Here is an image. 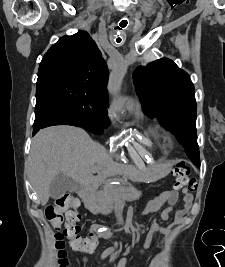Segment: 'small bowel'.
Segmentation results:
<instances>
[{"mask_svg":"<svg viewBox=\"0 0 225 267\" xmlns=\"http://www.w3.org/2000/svg\"><path fill=\"white\" fill-rule=\"evenodd\" d=\"M179 195L182 196V200L184 204L182 208L175 207V203L178 200ZM192 203H193V195L186 188L180 189L179 191L177 190L166 191V192L161 193L157 198L148 202L143 210V213L148 214V213L157 212L162 207H164L163 211L160 214V217L163 221H168L170 214L172 212H175V216H174L175 221L180 222L185 216V214L188 212V210L191 208ZM97 230H98V226L96 225H93L90 229L89 237L92 239V242L94 244V249L91 252H86V253H89V254L93 253L96 248L97 242L99 238L101 237V234L106 235L105 232H102L101 234L97 233V232H100L99 230L98 231ZM101 231H104V230H101ZM157 232H161L164 235L169 234V230L167 228L162 227L155 219H153L148 229V232L144 238L140 253L150 248L153 237ZM161 259H162V256L157 255L152 261V267H159ZM86 261H87L86 258H84V262ZM126 261H127L126 258L122 257L118 261L115 267H125Z\"/></svg>","mask_w":225,"mask_h":267,"instance_id":"obj_1","label":"small bowel"}]
</instances>
